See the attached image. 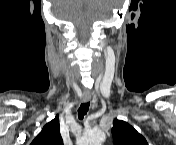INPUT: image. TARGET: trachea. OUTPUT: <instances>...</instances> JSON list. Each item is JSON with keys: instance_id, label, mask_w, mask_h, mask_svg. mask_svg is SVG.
Listing matches in <instances>:
<instances>
[{"instance_id": "3493384b", "label": "trachea", "mask_w": 176, "mask_h": 145, "mask_svg": "<svg viewBox=\"0 0 176 145\" xmlns=\"http://www.w3.org/2000/svg\"><path fill=\"white\" fill-rule=\"evenodd\" d=\"M89 106H90L89 102H85L80 105L79 110H78V118L79 119L82 120L84 118V116L87 114Z\"/></svg>"}]
</instances>
